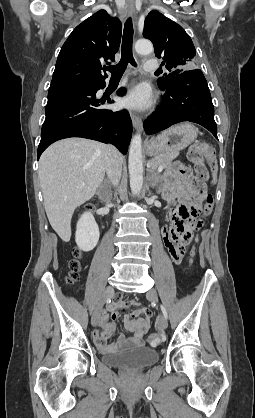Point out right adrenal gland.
Wrapping results in <instances>:
<instances>
[{"instance_id": "right-adrenal-gland-1", "label": "right adrenal gland", "mask_w": 255, "mask_h": 418, "mask_svg": "<svg viewBox=\"0 0 255 418\" xmlns=\"http://www.w3.org/2000/svg\"><path fill=\"white\" fill-rule=\"evenodd\" d=\"M106 183H109V180H105Z\"/></svg>"}]
</instances>
